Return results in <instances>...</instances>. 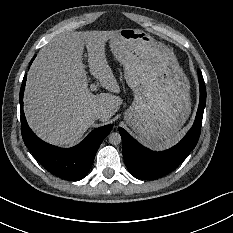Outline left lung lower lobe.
Listing matches in <instances>:
<instances>
[{"label":"left lung lower lobe","mask_w":233,"mask_h":233,"mask_svg":"<svg viewBox=\"0 0 233 233\" xmlns=\"http://www.w3.org/2000/svg\"><path fill=\"white\" fill-rule=\"evenodd\" d=\"M200 85V102L192 128L174 147L161 151H151L123 128H118L123 144V158L129 172L138 179L151 180L167 175L173 171L195 148L201 131L203 112L206 104V87L201 71L198 69Z\"/></svg>","instance_id":"1"}]
</instances>
